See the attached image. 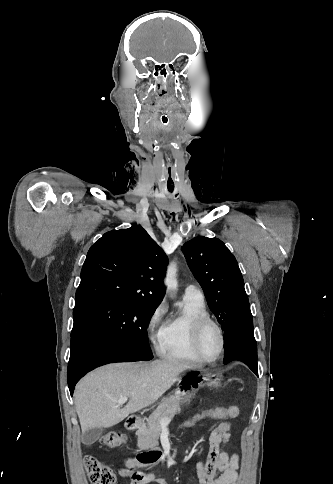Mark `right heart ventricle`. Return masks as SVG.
<instances>
[{"instance_id": "e07e8e85", "label": "right heart ventricle", "mask_w": 333, "mask_h": 484, "mask_svg": "<svg viewBox=\"0 0 333 484\" xmlns=\"http://www.w3.org/2000/svg\"><path fill=\"white\" fill-rule=\"evenodd\" d=\"M209 317L204 299L184 296L182 308L170 315L160 330L159 352L167 360L199 366L204 363L192 344L195 322Z\"/></svg>"}]
</instances>
